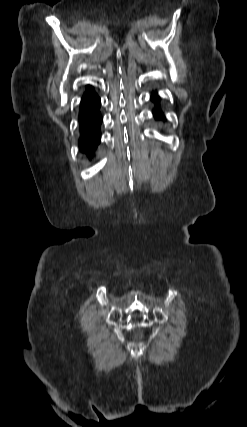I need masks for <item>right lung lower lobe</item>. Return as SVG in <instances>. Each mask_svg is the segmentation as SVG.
Instances as JSON below:
<instances>
[{
  "mask_svg": "<svg viewBox=\"0 0 247 427\" xmlns=\"http://www.w3.org/2000/svg\"><path fill=\"white\" fill-rule=\"evenodd\" d=\"M100 105L101 102L98 95L91 86H87L80 103L79 148L80 152L85 154L90 160L93 158L94 151L100 143L101 138L100 124L102 123V116L99 112Z\"/></svg>",
  "mask_w": 247,
  "mask_h": 427,
  "instance_id": "98d812e1",
  "label": "right lung lower lobe"
}]
</instances>
